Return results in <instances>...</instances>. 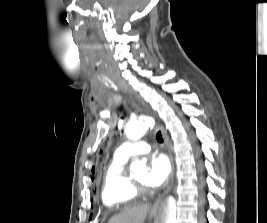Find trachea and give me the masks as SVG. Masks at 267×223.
Returning a JSON list of instances; mask_svg holds the SVG:
<instances>
[{"instance_id": "1", "label": "trachea", "mask_w": 267, "mask_h": 223, "mask_svg": "<svg viewBox=\"0 0 267 223\" xmlns=\"http://www.w3.org/2000/svg\"><path fill=\"white\" fill-rule=\"evenodd\" d=\"M156 139L159 143H163V137L160 131L157 132Z\"/></svg>"}]
</instances>
